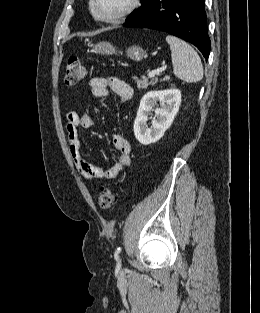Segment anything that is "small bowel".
<instances>
[{"label":"small bowel","instance_id":"small-bowel-1","mask_svg":"<svg viewBox=\"0 0 260 313\" xmlns=\"http://www.w3.org/2000/svg\"><path fill=\"white\" fill-rule=\"evenodd\" d=\"M89 86L94 97L105 98L110 91L114 92L120 103L128 102L133 94L132 88L123 80L117 77H94L90 80ZM92 117L87 113H77L69 111L66 114V131L69 146V152L74 160L79 174L87 179L111 180L117 178L131 161V144L121 134H115L112 137V144L118 153V158L113 166L102 168L87 161L80 152L81 141L79 129H88L92 126Z\"/></svg>","mask_w":260,"mask_h":313}]
</instances>
